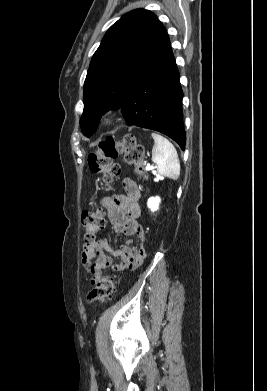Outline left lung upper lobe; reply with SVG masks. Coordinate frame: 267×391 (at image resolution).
<instances>
[{
  "label": "left lung upper lobe",
  "mask_w": 267,
  "mask_h": 391,
  "mask_svg": "<svg viewBox=\"0 0 267 391\" xmlns=\"http://www.w3.org/2000/svg\"><path fill=\"white\" fill-rule=\"evenodd\" d=\"M170 46L168 34L148 10L123 15L106 32L84 83L83 133L95 132L107 110L119 109L136 83Z\"/></svg>",
  "instance_id": "5c2ea615"
}]
</instances>
